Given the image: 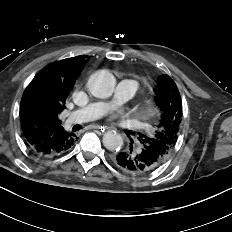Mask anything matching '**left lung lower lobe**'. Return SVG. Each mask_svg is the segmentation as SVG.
<instances>
[{"label":"left lung lower lobe","mask_w":232,"mask_h":232,"mask_svg":"<svg viewBox=\"0 0 232 232\" xmlns=\"http://www.w3.org/2000/svg\"><path fill=\"white\" fill-rule=\"evenodd\" d=\"M114 165L125 173L141 176L155 171L163 160L156 153L141 148L137 152H118L113 157Z\"/></svg>","instance_id":"1"}]
</instances>
